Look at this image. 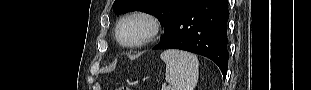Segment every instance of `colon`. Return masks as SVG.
I'll return each instance as SVG.
<instances>
[{
  "instance_id": "5ec220e1",
  "label": "colon",
  "mask_w": 311,
  "mask_h": 90,
  "mask_svg": "<svg viewBox=\"0 0 311 90\" xmlns=\"http://www.w3.org/2000/svg\"><path fill=\"white\" fill-rule=\"evenodd\" d=\"M118 90H131V88L123 86V87L118 88Z\"/></svg>"
}]
</instances>
